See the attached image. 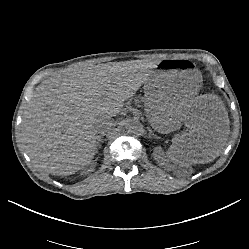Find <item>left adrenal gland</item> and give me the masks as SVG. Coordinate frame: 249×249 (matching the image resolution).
Here are the masks:
<instances>
[{"label":"left adrenal gland","instance_id":"a2214340","mask_svg":"<svg viewBox=\"0 0 249 249\" xmlns=\"http://www.w3.org/2000/svg\"><path fill=\"white\" fill-rule=\"evenodd\" d=\"M154 138L152 135H151V130H149V135H148V139H152ZM156 140H158V138H155Z\"/></svg>","mask_w":249,"mask_h":249}]
</instances>
